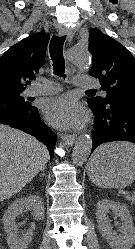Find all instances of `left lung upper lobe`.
Segmentation results:
<instances>
[{"mask_svg":"<svg viewBox=\"0 0 135 249\" xmlns=\"http://www.w3.org/2000/svg\"><path fill=\"white\" fill-rule=\"evenodd\" d=\"M89 51L93 57L89 74L99 79L106 97L88 103L106 106L111 100L135 101V58L118 41L98 29L89 31Z\"/></svg>","mask_w":135,"mask_h":249,"instance_id":"5c2ea615","label":"left lung upper lobe"}]
</instances>
